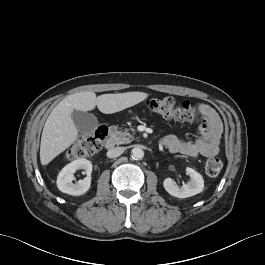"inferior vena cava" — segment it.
Returning <instances> with one entry per match:
<instances>
[{"instance_id":"1","label":"inferior vena cava","mask_w":265,"mask_h":265,"mask_svg":"<svg viewBox=\"0 0 265 265\" xmlns=\"http://www.w3.org/2000/svg\"><path fill=\"white\" fill-rule=\"evenodd\" d=\"M124 150L125 149L123 147L111 148L107 151V157L108 158H116V157L120 156L124 152Z\"/></svg>"}]
</instances>
